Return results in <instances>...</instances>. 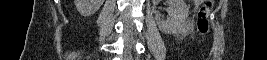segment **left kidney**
Returning a JSON list of instances; mask_svg holds the SVG:
<instances>
[{"label":"left kidney","mask_w":267,"mask_h":60,"mask_svg":"<svg viewBox=\"0 0 267 60\" xmlns=\"http://www.w3.org/2000/svg\"><path fill=\"white\" fill-rule=\"evenodd\" d=\"M169 17L166 20L156 15L159 29L167 34H175L182 30L189 14V6L184 0H169Z\"/></svg>","instance_id":"5707ae66"}]
</instances>
